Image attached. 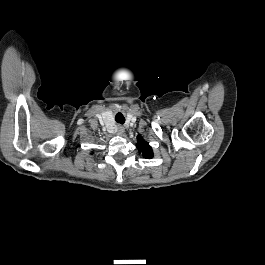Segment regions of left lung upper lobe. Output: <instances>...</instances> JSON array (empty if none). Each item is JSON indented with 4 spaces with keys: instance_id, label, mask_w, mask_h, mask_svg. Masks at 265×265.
Returning a JSON list of instances; mask_svg holds the SVG:
<instances>
[{
    "instance_id": "left-lung-upper-lobe-1",
    "label": "left lung upper lobe",
    "mask_w": 265,
    "mask_h": 265,
    "mask_svg": "<svg viewBox=\"0 0 265 265\" xmlns=\"http://www.w3.org/2000/svg\"><path fill=\"white\" fill-rule=\"evenodd\" d=\"M137 148L142 152L145 158L151 159L153 157L151 146L141 136L137 138Z\"/></svg>"
}]
</instances>
